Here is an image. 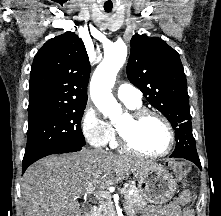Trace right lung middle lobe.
<instances>
[{"label": "right lung middle lobe", "instance_id": "obj_1", "mask_svg": "<svg viewBox=\"0 0 221 216\" xmlns=\"http://www.w3.org/2000/svg\"><path fill=\"white\" fill-rule=\"evenodd\" d=\"M85 106L72 107L29 119L23 163L66 147L85 145L81 119Z\"/></svg>", "mask_w": 221, "mask_h": 216}]
</instances>
